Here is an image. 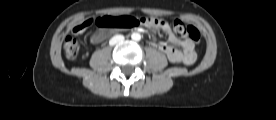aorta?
Returning <instances> with one entry per match:
<instances>
[{
    "label": "aorta",
    "instance_id": "1",
    "mask_svg": "<svg viewBox=\"0 0 276 120\" xmlns=\"http://www.w3.org/2000/svg\"><path fill=\"white\" fill-rule=\"evenodd\" d=\"M131 38L133 41H140L141 35L139 33L134 32V33H132Z\"/></svg>",
    "mask_w": 276,
    "mask_h": 120
}]
</instances>
